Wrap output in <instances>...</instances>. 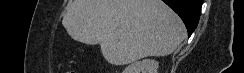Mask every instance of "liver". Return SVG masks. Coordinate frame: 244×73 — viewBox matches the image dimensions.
Masks as SVG:
<instances>
[{"mask_svg": "<svg viewBox=\"0 0 244 73\" xmlns=\"http://www.w3.org/2000/svg\"><path fill=\"white\" fill-rule=\"evenodd\" d=\"M62 24L72 39L100 44L114 65L167 56L186 35L180 17L161 0H74Z\"/></svg>", "mask_w": 244, "mask_h": 73, "instance_id": "6515ba94", "label": "liver"}]
</instances>
